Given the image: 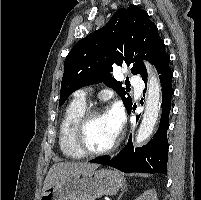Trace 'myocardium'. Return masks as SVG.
<instances>
[{"label":"myocardium","instance_id":"f54148a6","mask_svg":"<svg viewBox=\"0 0 201 200\" xmlns=\"http://www.w3.org/2000/svg\"><path fill=\"white\" fill-rule=\"evenodd\" d=\"M105 114V110L101 107H87L82 114L77 119L74 128H73V143L75 147L78 149L80 153H82L84 156H99L108 154L112 151H114L118 144H119V138L116 137L115 140L107 147L99 150H92L89 149L84 142V131L87 123L90 121V119L96 115Z\"/></svg>","mask_w":201,"mask_h":200}]
</instances>
